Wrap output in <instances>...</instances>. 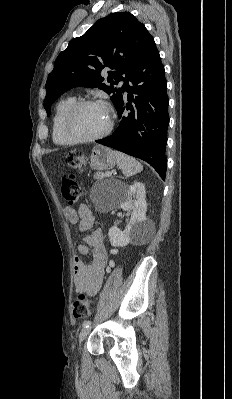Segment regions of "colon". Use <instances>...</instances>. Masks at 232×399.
Masks as SVG:
<instances>
[{
    "instance_id": "1",
    "label": "colon",
    "mask_w": 232,
    "mask_h": 399,
    "mask_svg": "<svg viewBox=\"0 0 232 399\" xmlns=\"http://www.w3.org/2000/svg\"><path fill=\"white\" fill-rule=\"evenodd\" d=\"M86 164V151L68 150L66 155V168H74L75 172H82L83 165ZM64 185H75L77 175H63ZM58 194H77L78 197L82 196L81 186H61L58 189ZM78 198H62V203H78ZM72 301H81L80 307L71 308V317L86 316V319L97 318V305H92L91 298L86 296H72Z\"/></svg>"
}]
</instances>
